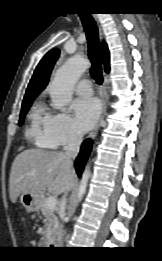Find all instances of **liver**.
I'll use <instances>...</instances> for the list:
<instances>
[{
    "instance_id": "obj_1",
    "label": "liver",
    "mask_w": 162,
    "mask_h": 261,
    "mask_svg": "<svg viewBox=\"0 0 162 261\" xmlns=\"http://www.w3.org/2000/svg\"><path fill=\"white\" fill-rule=\"evenodd\" d=\"M77 181L72 165L62 153L42 149L24 150L13 161L9 195L15 203L22 193L39 196L44 190L53 195L67 193Z\"/></svg>"
}]
</instances>
